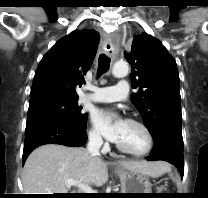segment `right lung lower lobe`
Here are the masks:
<instances>
[{
    "instance_id": "1",
    "label": "right lung lower lobe",
    "mask_w": 208,
    "mask_h": 198,
    "mask_svg": "<svg viewBox=\"0 0 208 198\" xmlns=\"http://www.w3.org/2000/svg\"><path fill=\"white\" fill-rule=\"evenodd\" d=\"M86 141V129L72 123L58 119L36 122L26 126L22 163L24 164L28 155L41 145L60 144L77 147L84 145Z\"/></svg>"
}]
</instances>
